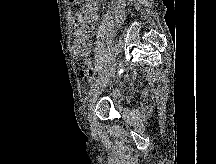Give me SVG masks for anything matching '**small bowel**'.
Segmentation results:
<instances>
[{"label":"small bowel","mask_w":216,"mask_h":164,"mask_svg":"<svg viewBox=\"0 0 216 164\" xmlns=\"http://www.w3.org/2000/svg\"><path fill=\"white\" fill-rule=\"evenodd\" d=\"M97 11L98 8L95 0H87L74 17L75 39L73 42V52L77 58H83L84 64L90 67H93V61L90 57L92 45L89 41V35L96 25L98 19ZM122 15L123 10L120 6L117 9V18H121Z\"/></svg>","instance_id":"small-bowel-1"}]
</instances>
